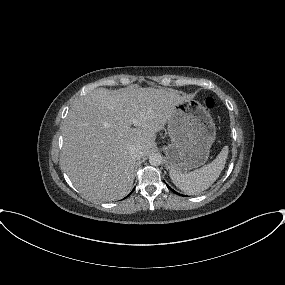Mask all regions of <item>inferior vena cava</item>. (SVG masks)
<instances>
[{
    "label": "inferior vena cava",
    "mask_w": 285,
    "mask_h": 285,
    "mask_svg": "<svg viewBox=\"0 0 285 285\" xmlns=\"http://www.w3.org/2000/svg\"><path fill=\"white\" fill-rule=\"evenodd\" d=\"M129 154H130L131 158H133L135 160L140 159L142 157V151H141L140 147L135 146V145H132L129 148Z\"/></svg>",
    "instance_id": "602c4592"
}]
</instances>
